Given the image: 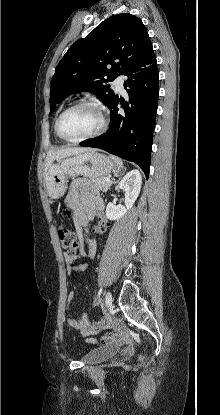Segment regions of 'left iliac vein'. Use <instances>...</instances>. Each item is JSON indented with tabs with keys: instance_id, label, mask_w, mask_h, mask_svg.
Segmentation results:
<instances>
[{
	"instance_id": "4c4485c4",
	"label": "left iliac vein",
	"mask_w": 220,
	"mask_h": 415,
	"mask_svg": "<svg viewBox=\"0 0 220 415\" xmlns=\"http://www.w3.org/2000/svg\"><path fill=\"white\" fill-rule=\"evenodd\" d=\"M104 304L107 308L111 307L112 305V294L108 291L105 295Z\"/></svg>"
}]
</instances>
